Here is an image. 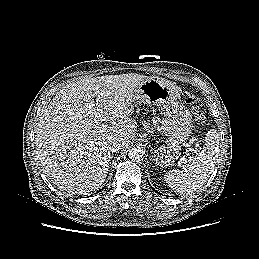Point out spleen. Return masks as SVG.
<instances>
[{"instance_id": "3e777b00", "label": "spleen", "mask_w": 259, "mask_h": 259, "mask_svg": "<svg viewBox=\"0 0 259 259\" xmlns=\"http://www.w3.org/2000/svg\"><path fill=\"white\" fill-rule=\"evenodd\" d=\"M205 146L196 156L185 160L182 170H170L165 175L169 187L179 194L193 193L208 181L219 155L220 135L215 129L207 132Z\"/></svg>"}]
</instances>
